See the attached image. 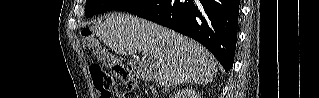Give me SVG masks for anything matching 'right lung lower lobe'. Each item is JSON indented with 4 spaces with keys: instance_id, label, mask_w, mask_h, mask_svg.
Returning <instances> with one entry per match:
<instances>
[{
    "instance_id": "1",
    "label": "right lung lower lobe",
    "mask_w": 319,
    "mask_h": 98,
    "mask_svg": "<svg viewBox=\"0 0 319 98\" xmlns=\"http://www.w3.org/2000/svg\"><path fill=\"white\" fill-rule=\"evenodd\" d=\"M240 0H152L128 12L192 37L225 71L232 66Z\"/></svg>"
}]
</instances>
